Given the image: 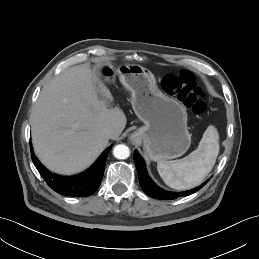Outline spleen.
Here are the masks:
<instances>
[{"instance_id": "spleen-1", "label": "spleen", "mask_w": 259, "mask_h": 259, "mask_svg": "<svg viewBox=\"0 0 259 259\" xmlns=\"http://www.w3.org/2000/svg\"><path fill=\"white\" fill-rule=\"evenodd\" d=\"M219 153V134L210 125L196 150L173 161H158L157 170L166 185L176 190L191 189L201 184L211 172Z\"/></svg>"}]
</instances>
